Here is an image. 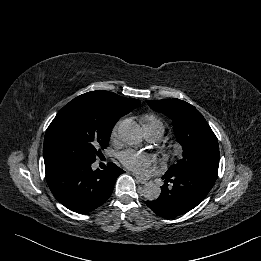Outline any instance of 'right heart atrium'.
<instances>
[{
  "label": "right heart atrium",
  "mask_w": 261,
  "mask_h": 261,
  "mask_svg": "<svg viewBox=\"0 0 261 261\" xmlns=\"http://www.w3.org/2000/svg\"><path fill=\"white\" fill-rule=\"evenodd\" d=\"M119 132V123L115 124V126L112 128L110 137L112 140H115L118 137Z\"/></svg>",
  "instance_id": "d8ad5b80"
}]
</instances>
